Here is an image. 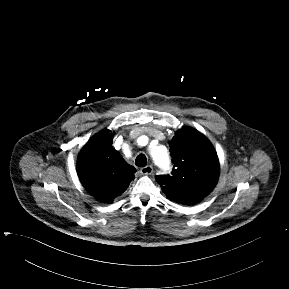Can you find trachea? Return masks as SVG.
I'll return each instance as SVG.
<instances>
[{"instance_id":"3493384b","label":"trachea","mask_w":289,"mask_h":289,"mask_svg":"<svg viewBox=\"0 0 289 289\" xmlns=\"http://www.w3.org/2000/svg\"><path fill=\"white\" fill-rule=\"evenodd\" d=\"M135 164H136L138 167H144V166H146V164H147L146 156H145L144 154L138 155V156L136 157Z\"/></svg>"}]
</instances>
